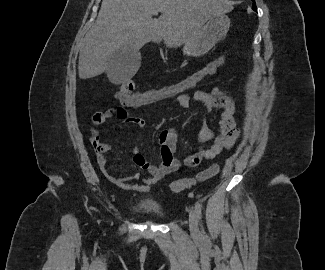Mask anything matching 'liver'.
Instances as JSON below:
<instances>
[{"label": "liver", "instance_id": "liver-1", "mask_svg": "<svg viewBox=\"0 0 325 270\" xmlns=\"http://www.w3.org/2000/svg\"><path fill=\"white\" fill-rule=\"evenodd\" d=\"M232 9L227 0H103L80 48L79 77L104 73L111 55L123 46L139 50L150 41L164 40L170 48L180 47L193 40L210 18ZM157 12L161 16L153 19ZM129 79L109 78L114 84Z\"/></svg>", "mask_w": 325, "mask_h": 270}]
</instances>
